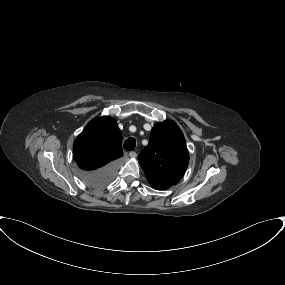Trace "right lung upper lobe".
Returning <instances> with one entry per match:
<instances>
[{"label": "right lung upper lobe", "mask_w": 285, "mask_h": 285, "mask_svg": "<svg viewBox=\"0 0 285 285\" xmlns=\"http://www.w3.org/2000/svg\"><path fill=\"white\" fill-rule=\"evenodd\" d=\"M121 140L115 119L94 118L74 141V159L84 172L96 171L123 156Z\"/></svg>", "instance_id": "cb5924a9"}]
</instances>
